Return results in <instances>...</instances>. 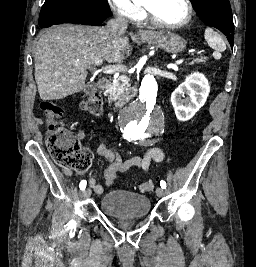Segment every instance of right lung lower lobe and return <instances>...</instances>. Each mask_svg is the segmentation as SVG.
Listing matches in <instances>:
<instances>
[{
	"instance_id": "1",
	"label": "right lung lower lobe",
	"mask_w": 256,
	"mask_h": 267,
	"mask_svg": "<svg viewBox=\"0 0 256 267\" xmlns=\"http://www.w3.org/2000/svg\"><path fill=\"white\" fill-rule=\"evenodd\" d=\"M105 19L103 18H94L90 16H76V17H67V18H59L52 22H47L43 25L39 24L40 27L46 28L54 24H62V23H74V24H85V25H100Z\"/></svg>"
}]
</instances>
